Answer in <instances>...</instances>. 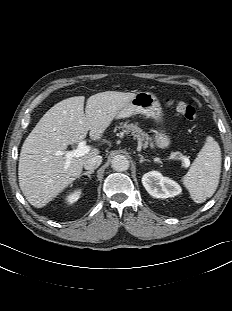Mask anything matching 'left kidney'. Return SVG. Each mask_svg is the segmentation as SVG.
Returning a JSON list of instances; mask_svg holds the SVG:
<instances>
[{
	"mask_svg": "<svg viewBox=\"0 0 232 311\" xmlns=\"http://www.w3.org/2000/svg\"><path fill=\"white\" fill-rule=\"evenodd\" d=\"M142 184L147 192L155 198L174 197L182 191L178 183L168 177H164L158 171H150L144 174Z\"/></svg>",
	"mask_w": 232,
	"mask_h": 311,
	"instance_id": "5707ae66",
	"label": "left kidney"
}]
</instances>
